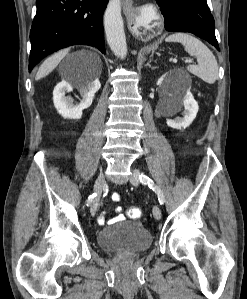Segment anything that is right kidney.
Masks as SVG:
<instances>
[{"instance_id":"obj_1","label":"right kidney","mask_w":247,"mask_h":299,"mask_svg":"<svg viewBox=\"0 0 247 299\" xmlns=\"http://www.w3.org/2000/svg\"><path fill=\"white\" fill-rule=\"evenodd\" d=\"M101 84L96 77L87 85H79L78 90L81 94L82 100L79 104L74 105L72 97H65L66 92L73 90L72 85L63 80L56 85L53 91V102L57 112L67 119H80L82 117V111L91 106L95 93L100 89Z\"/></svg>"}]
</instances>
